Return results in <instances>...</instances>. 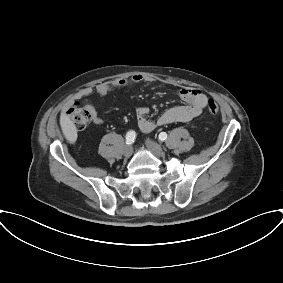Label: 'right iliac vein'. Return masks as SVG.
Returning a JSON list of instances; mask_svg holds the SVG:
<instances>
[{
  "label": "right iliac vein",
  "mask_w": 283,
  "mask_h": 283,
  "mask_svg": "<svg viewBox=\"0 0 283 283\" xmlns=\"http://www.w3.org/2000/svg\"><path fill=\"white\" fill-rule=\"evenodd\" d=\"M132 152H133L132 146L130 145H126L123 149V154L125 157H130L132 155Z\"/></svg>",
  "instance_id": "1"
}]
</instances>
